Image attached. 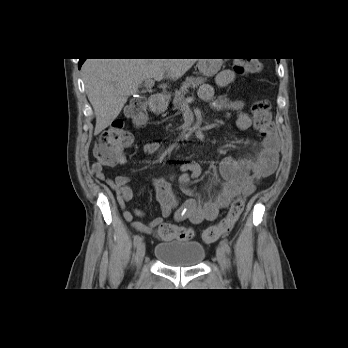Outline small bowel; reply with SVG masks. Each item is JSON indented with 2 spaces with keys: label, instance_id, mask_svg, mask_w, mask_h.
<instances>
[{
  "label": "small bowel",
  "instance_id": "1",
  "mask_svg": "<svg viewBox=\"0 0 348 348\" xmlns=\"http://www.w3.org/2000/svg\"><path fill=\"white\" fill-rule=\"evenodd\" d=\"M235 78V74L231 70H224L219 73L216 82L219 87L225 88L232 84ZM199 97L205 102H210L213 108L218 111L228 110L237 112L235 127L238 132H244L250 129L251 119L244 111L243 102L230 100L224 96L215 98L213 87L209 84L200 86ZM279 144L277 134L273 133L263 141L256 160H235L232 158L222 160L220 163V172L224 177V183L212 200L200 202L191 185V181L198 180L202 173L201 165L197 162H188L181 165L178 176L148 179L153 187L155 199L159 203L161 215L152 219L147 224H142L134 220L135 216H143L141 210H128L126 208L127 202L132 197L130 176L119 175L111 178L105 173L104 169L106 165L101 163H95L92 170L99 180L114 190L118 204L123 211L124 219L136 230L146 234H152L163 224L164 219L171 215H173L176 221L187 220L192 224L212 221L217 217L219 210L227 207L236 195L252 194L256 183L270 176L276 170L279 158ZM159 149L160 144L158 142H147L142 146V150L146 155H153ZM125 164H127V158L123 156L114 165ZM174 178L181 184L183 193L189 197L182 203H180L179 198L171 186V180Z\"/></svg>",
  "mask_w": 348,
  "mask_h": 348
}]
</instances>
